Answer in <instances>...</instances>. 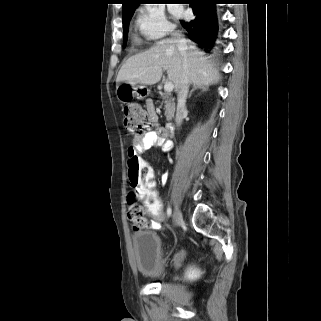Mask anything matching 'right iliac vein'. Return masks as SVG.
I'll return each instance as SVG.
<instances>
[{
	"label": "right iliac vein",
	"mask_w": 321,
	"mask_h": 321,
	"mask_svg": "<svg viewBox=\"0 0 321 321\" xmlns=\"http://www.w3.org/2000/svg\"><path fill=\"white\" fill-rule=\"evenodd\" d=\"M173 219L175 224H179L182 221V213L178 206H175Z\"/></svg>",
	"instance_id": "63e3f726"
}]
</instances>
